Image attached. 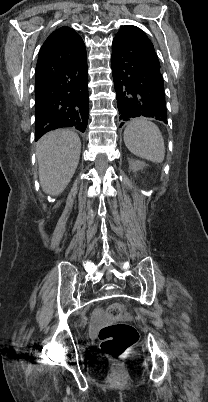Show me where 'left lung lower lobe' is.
Instances as JSON below:
<instances>
[{
	"instance_id": "left-lung-lower-lobe-1",
	"label": "left lung lower lobe",
	"mask_w": 208,
	"mask_h": 402,
	"mask_svg": "<svg viewBox=\"0 0 208 402\" xmlns=\"http://www.w3.org/2000/svg\"><path fill=\"white\" fill-rule=\"evenodd\" d=\"M149 39L138 27L126 25L114 37L112 72L119 119L149 117L167 123L163 78L149 59Z\"/></svg>"
}]
</instances>
